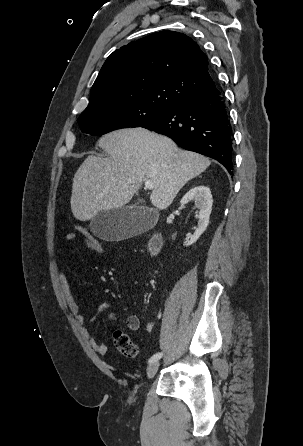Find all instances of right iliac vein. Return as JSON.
Returning a JSON list of instances; mask_svg holds the SVG:
<instances>
[{
    "mask_svg": "<svg viewBox=\"0 0 303 446\" xmlns=\"http://www.w3.org/2000/svg\"><path fill=\"white\" fill-rule=\"evenodd\" d=\"M160 363L159 362H153L151 363L148 367H147V377L148 378H153L155 376V374L158 371Z\"/></svg>",
    "mask_w": 303,
    "mask_h": 446,
    "instance_id": "1",
    "label": "right iliac vein"
}]
</instances>
